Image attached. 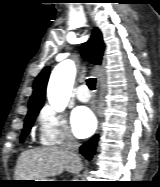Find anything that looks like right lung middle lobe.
Instances as JSON below:
<instances>
[{
    "label": "right lung middle lobe",
    "instance_id": "obj_1",
    "mask_svg": "<svg viewBox=\"0 0 160 187\" xmlns=\"http://www.w3.org/2000/svg\"><path fill=\"white\" fill-rule=\"evenodd\" d=\"M38 112H39V110H35V111L29 112L27 114V117H26L25 123H24V128H23L22 134H21V141H23L25 139V137L28 135V133L34 123L35 117L38 115Z\"/></svg>",
    "mask_w": 160,
    "mask_h": 187
}]
</instances>
